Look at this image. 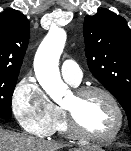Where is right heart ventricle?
<instances>
[{"label": "right heart ventricle", "instance_id": "obj_1", "mask_svg": "<svg viewBox=\"0 0 131 151\" xmlns=\"http://www.w3.org/2000/svg\"><path fill=\"white\" fill-rule=\"evenodd\" d=\"M57 110H58V117L50 134L57 133L62 136H70V132L67 127L64 112L60 107H57Z\"/></svg>", "mask_w": 131, "mask_h": 151}]
</instances>
